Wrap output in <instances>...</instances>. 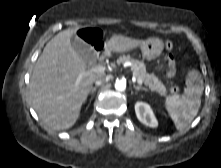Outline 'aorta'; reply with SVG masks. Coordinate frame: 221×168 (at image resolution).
Here are the masks:
<instances>
[{
	"instance_id": "obj_1",
	"label": "aorta",
	"mask_w": 221,
	"mask_h": 168,
	"mask_svg": "<svg viewBox=\"0 0 221 168\" xmlns=\"http://www.w3.org/2000/svg\"><path fill=\"white\" fill-rule=\"evenodd\" d=\"M115 89L117 91H120V92L125 91V89H126V82L123 81V80H117L115 82Z\"/></svg>"
}]
</instances>
